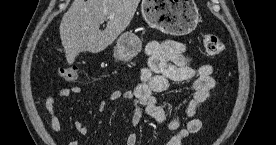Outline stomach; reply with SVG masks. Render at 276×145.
I'll list each match as a JSON object with an SVG mask.
<instances>
[{"instance_id": "1", "label": "stomach", "mask_w": 276, "mask_h": 145, "mask_svg": "<svg viewBox=\"0 0 276 145\" xmlns=\"http://www.w3.org/2000/svg\"><path fill=\"white\" fill-rule=\"evenodd\" d=\"M141 11L145 21L165 34L181 36L192 32L199 21L194 0H143ZM142 42L132 31L123 33L114 47V58L129 61L141 50Z\"/></svg>"}]
</instances>
